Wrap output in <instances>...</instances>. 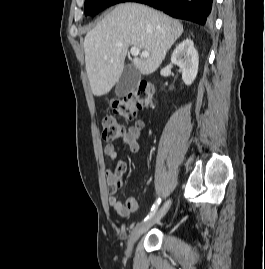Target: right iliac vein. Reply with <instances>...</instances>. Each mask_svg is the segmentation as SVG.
<instances>
[{"mask_svg":"<svg viewBox=\"0 0 265 269\" xmlns=\"http://www.w3.org/2000/svg\"><path fill=\"white\" fill-rule=\"evenodd\" d=\"M171 205V199H168L164 202L161 208L147 221L137 225L134 230L132 231L129 241H128V248L127 254L131 253L134 243L139 239V237L145 233L150 227L154 224L158 223L162 217L167 213L168 209Z\"/></svg>","mask_w":265,"mask_h":269,"instance_id":"1","label":"right iliac vein"}]
</instances>
